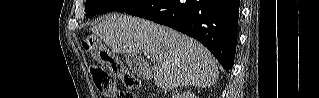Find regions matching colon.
<instances>
[{"mask_svg":"<svg viewBox=\"0 0 319 98\" xmlns=\"http://www.w3.org/2000/svg\"><path fill=\"white\" fill-rule=\"evenodd\" d=\"M82 45L84 49L91 51L98 61L110 69V73H108L99 65L91 66L90 72L97 90L104 97L133 98L132 92L139 90L141 86L139 79L118 62L93 35H86L82 40ZM116 78L120 79L130 92H118L115 84Z\"/></svg>","mask_w":319,"mask_h":98,"instance_id":"colon-1","label":"colon"}]
</instances>
